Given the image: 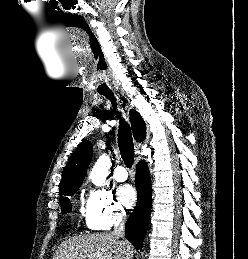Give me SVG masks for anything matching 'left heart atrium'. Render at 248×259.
Returning <instances> with one entry per match:
<instances>
[{"label":"left heart atrium","mask_w":248,"mask_h":259,"mask_svg":"<svg viewBox=\"0 0 248 259\" xmlns=\"http://www.w3.org/2000/svg\"><path fill=\"white\" fill-rule=\"evenodd\" d=\"M117 197L126 207H132L136 202V192L134 188L128 184L122 185L117 189Z\"/></svg>","instance_id":"obj_1"}]
</instances>
